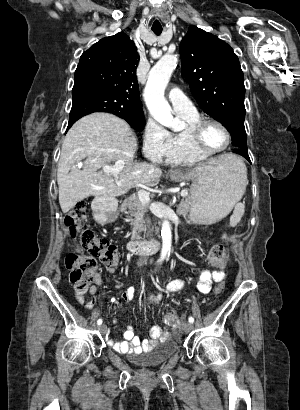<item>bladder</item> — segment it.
<instances>
[{"label": "bladder", "instance_id": "1", "mask_svg": "<svg viewBox=\"0 0 300 410\" xmlns=\"http://www.w3.org/2000/svg\"><path fill=\"white\" fill-rule=\"evenodd\" d=\"M178 352V347L175 342L167 341L164 344H156L144 355L129 354L128 360L134 365L140 367H152L165 363L173 355Z\"/></svg>", "mask_w": 300, "mask_h": 410}]
</instances>
